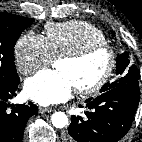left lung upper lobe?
Returning a JSON list of instances; mask_svg holds the SVG:
<instances>
[{"label":"left lung upper lobe","instance_id":"left-lung-upper-lobe-1","mask_svg":"<svg viewBox=\"0 0 142 142\" xmlns=\"http://www.w3.org/2000/svg\"><path fill=\"white\" fill-rule=\"evenodd\" d=\"M112 34L115 33L112 31ZM116 74L119 75L118 79L111 84H105L100 90L101 93L122 85H126L128 83L139 84V74L137 67L130 63L129 54L127 52L117 57Z\"/></svg>","mask_w":142,"mask_h":142}]
</instances>
